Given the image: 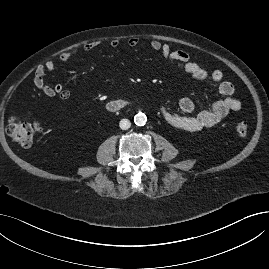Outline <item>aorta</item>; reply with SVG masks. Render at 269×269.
I'll return each instance as SVG.
<instances>
[{
  "label": "aorta",
  "mask_w": 269,
  "mask_h": 269,
  "mask_svg": "<svg viewBox=\"0 0 269 269\" xmlns=\"http://www.w3.org/2000/svg\"><path fill=\"white\" fill-rule=\"evenodd\" d=\"M147 117L144 113H138L134 116V123L138 126H143L146 124Z\"/></svg>",
  "instance_id": "1"
}]
</instances>
